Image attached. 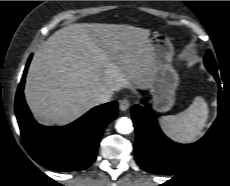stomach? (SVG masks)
Segmentation results:
<instances>
[{
	"mask_svg": "<svg viewBox=\"0 0 230 186\" xmlns=\"http://www.w3.org/2000/svg\"><path fill=\"white\" fill-rule=\"evenodd\" d=\"M150 42L154 68L148 87L153 96L154 109L166 112L175 102V91L179 84V76L171 64L174 50L170 40L163 34L155 33Z\"/></svg>",
	"mask_w": 230,
	"mask_h": 186,
	"instance_id": "stomach-1",
	"label": "stomach"
}]
</instances>
